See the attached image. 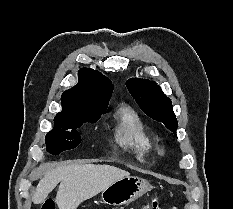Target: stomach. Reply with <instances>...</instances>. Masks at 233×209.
I'll list each match as a JSON object with an SVG mask.
<instances>
[{
  "mask_svg": "<svg viewBox=\"0 0 233 209\" xmlns=\"http://www.w3.org/2000/svg\"><path fill=\"white\" fill-rule=\"evenodd\" d=\"M150 190V184L137 176H126L113 182L101 192L104 204L112 206L127 205L142 197Z\"/></svg>",
  "mask_w": 233,
  "mask_h": 209,
  "instance_id": "obj_1",
  "label": "stomach"
}]
</instances>
